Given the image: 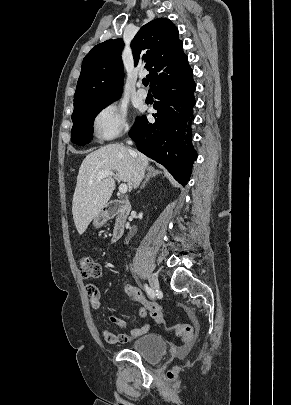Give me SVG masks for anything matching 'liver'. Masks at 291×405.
<instances>
[{
	"instance_id": "1",
	"label": "liver",
	"mask_w": 291,
	"mask_h": 405,
	"mask_svg": "<svg viewBox=\"0 0 291 405\" xmlns=\"http://www.w3.org/2000/svg\"><path fill=\"white\" fill-rule=\"evenodd\" d=\"M144 168L149 159L135 152ZM135 157L121 144H109L91 152L83 160L77 176V184L72 201V214L75 226L82 235L90 222L105 207L114 189L112 177L98 180L97 174L103 171H116L118 179L127 182L129 191L133 187Z\"/></svg>"
}]
</instances>
